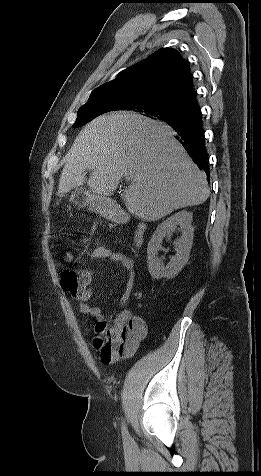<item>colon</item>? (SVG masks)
<instances>
[{
    "label": "colon",
    "instance_id": "1",
    "mask_svg": "<svg viewBox=\"0 0 261 476\" xmlns=\"http://www.w3.org/2000/svg\"><path fill=\"white\" fill-rule=\"evenodd\" d=\"M91 279L88 271H78L74 268H65L60 274V282L64 290L75 294ZM98 337L96 345L100 350H107L111 347V343H116L120 330L109 327L105 322L100 321L96 326Z\"/></svg>",
    "mask_w": 261,
    "mask_h": 476
}]
</instances>
